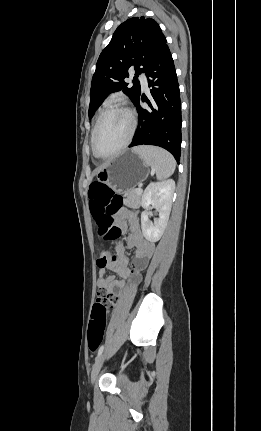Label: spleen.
Returning <instances> with one entry per match:
<instances>
[{
  "label": "spleen",
  "instance_id": "1",
  "mask_svg": "<svg viewBox=\"0 0 261 431\" xmlns=\"http://www.w3.org/2000/svg\"><path fill=\"white\" fill-rule=\"evenodd\" d=\"M134 151L142 157L147 165L155 169L157 179L164 180L174 173L175 159L166 150L158 147L140 146L134 148Z\"/></svg>",
  "mask_w": 261,
  "mask_h": 431
}]
</instances>
